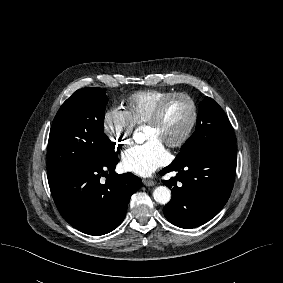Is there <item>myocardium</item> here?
<instances>
[{
    "mask_svg": "<svg viewBox=\"0 0 283 283\" xmlns=\"http://www.w3.org/2000/svg\"><path fill=\"white\" fill-rule=\"evenodd\" d=\"M177 98L184 99L188 102L190 106V110H191V115H190V120L188 122V125L186 129L184 130V132L182 133V135L174 141L165 143V145H167L168 147H172V148L181 147L182 145H184L191 137L195 129V126L198 122V118H199L198 105L195 99L191 95H189L186 92L170 93L168 96H166L164 99H162L157 104L153 113L151 114V116L145 123L146 125H151V126L158 125L163 117L164 111L167 108V106L170 104L171 101Z\"/></svg>",
    "mask_w": 283,
    "mask_h": 283,
    "instance_id": "1",
    "label": "myocardium"
}]
</instances>
